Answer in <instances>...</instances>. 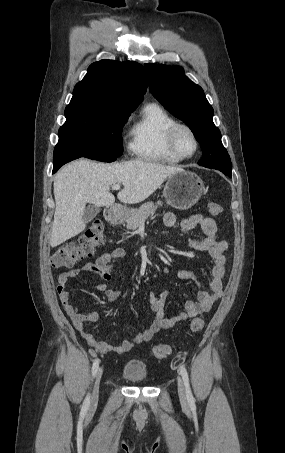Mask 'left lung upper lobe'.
<instances>
[{"label":"left lung upper lobe","mask_w":285,"mask_h":453,"mask_svg":"<svg viewBox=\"0 0 285 453\" xmlns=\"http://www.w3.org/2000/svg\"><path fill=\"white\" fill-rule=\"evenodd\" d=\"M152 94L172 115L185 122L201 145L199 165L231 176L230 156L213 123V108L203 89L184 75L182 67L145 64Z\"/></svg>","instance_id":"1"}]
</instances>
